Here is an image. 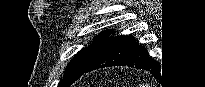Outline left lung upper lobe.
I'll return each instance as SVG.
<instances>
[{"label":"left lung upper lobe","instance_id":"obj_1","mask_svg":"<svg viewBox=\"0 0 205 87\" xmlns=\"http://www.w3.org/2000/svg\"><path fill=\"white\" fill-rule=\"evenodd\" d=\"M112 32L113 30L102 32L95 38L93 44L81 50L73 57V60L68 64L58 87H68L82 76L83 72L90 66Z\"/></svg>","mask_w":205,"mask_h":87}]
</instances>
